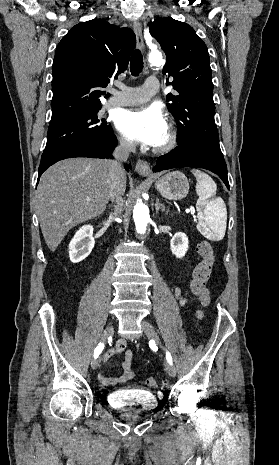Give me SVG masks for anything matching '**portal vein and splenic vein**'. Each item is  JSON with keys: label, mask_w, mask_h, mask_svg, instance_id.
Wrapping results in <instances>:
<instances>
[{"label": "portal vein and splenic vein", "mask_w": 279, "mask_h": 465, "mask_svg": "<svg viewBox=\"0 0 279 465\" xmlns=\"http://www.w3.org/2000/svg\"><path fill=\"white\" fill-rule=\"evenodd\" d=\"M86 200L90 201L91 199L89 197H87ZM192 214H194V212H192Z\"/></svg>", "instance_id": "1"}]
</instances>
